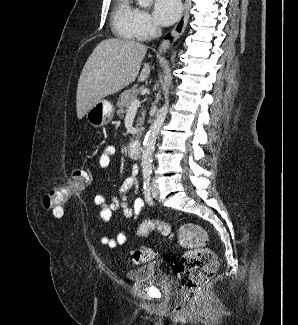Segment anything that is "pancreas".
Segmentation results:
<instances>
[{
  "mask_svg": "<svg viewBox=\"0 0 298 325\" xmlns=\"http://www.w3.org/2000/svg\"><path fill=\"white\" fill-rule=\"evenodd\" d=\"M141 92L140 86L138 84H134V86H131V88H127V90H123L121 94H119V98H117L116 106H117V114L123 118L124 112H127V106H130V102L134 100V98H137V94ZM145 108H141L139 114L141 116H138V120H136V126H137V134H142L143 124L145 120Z\"/></svg>",
  "mask_w": 298,
  "mask_h": 325,
  "instance_id": "1",
  "label": "pancreas"
}]
</instances>
